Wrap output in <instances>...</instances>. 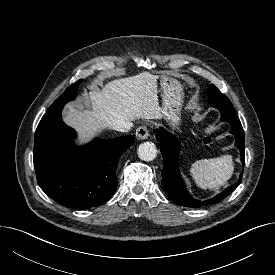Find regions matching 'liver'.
Listing matches in <instances>:
<instances>
[{
	"mask_svg": "<svg viewBox=\"0 0 275 275\" xmlns=\"http://www.w3.org/2000/svg\"><path fill=\"white\" fill-rule=\"evenodd\" d=\"M157 93V76L149 72L115 79L102 90L89 92V108L77 109L68 104L63 120L85 141L106 128H113L118 122L163 118Z\"/></svg>",
	"mask_w": 275,
	"mask_h": 275,
	"instance_id": "liver-1",
	"label": "liver"
}]
</instances>
